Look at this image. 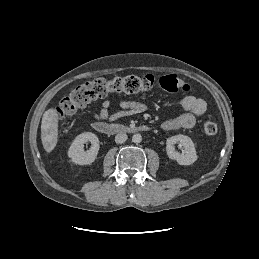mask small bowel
I'll use <instances>...</instances> for the list:
<instances>
[{
    "instance_id": "c3829d8e",
    "label": "small bowel",
    "mask_w": 259,
    "mask_h": 259,
    "mask_svg": "<svg viewBox=\"0 0 259 259\" xmlns=\"http://www.w3.org/2000/svg\"><path fill=\"white\" fill-rule=\"evenodd\" d=\"M184 112L174 118H170L162 123V128L166 131L178 130L181 128L189 129L195 125L196 119L201 117L206 112V103L203 99L193 95H186L179 101ZM109 101L105 100L93 116L96 122H110L123 117L139 113L143 106L138 103L119 101L121 110L110 114Z\"/></svg>"
}]
</instances>
